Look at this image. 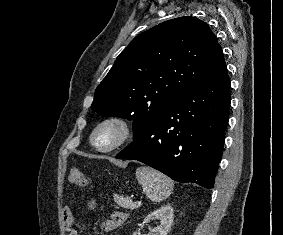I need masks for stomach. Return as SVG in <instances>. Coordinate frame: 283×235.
Returning a JSON list of instances; mask_svg holds the SVG:
<instances>
[{"mask_svg":"<svg viewBox=\"0 0 283 235\" xmlns=\"http://www.w3.org/2000/svg\"><path fill=\"white\" fill-rule=\"evenodd\" d=\"M95 206H96L95 200H91V201L89 202V207H90L91 209H94Z\"/></svg>","mask_w":283,"mask_h":235,"instance_id":"0dacf381","label":"stomach"}]
</instances>
